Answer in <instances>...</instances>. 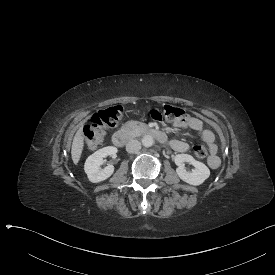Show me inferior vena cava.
<instances>
[{"instance_id":"inferior-vena-cava-1","label":"inferior vena cava","mask_w":275,"mask_h":275,"mask_svg":"<svg viewBox=\"0 0 275 275\" xmlns=\"http://www.w3.org/2000/svg\"><path fill=\"white\" fill-rule=\"evenodd\" d=\"M141 149V143L137 140H131L126 145V151L128 153H135Z\"/></svg>"}]
</instances>
